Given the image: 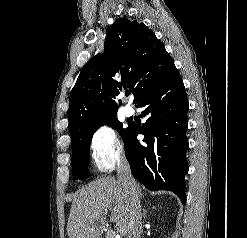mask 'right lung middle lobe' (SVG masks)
Listing matches in <instances>:
<instances>
[{"label": "right lung middle lobe", "mask_w": 247, "mask_h": 238, "mask_svg": "<svg viewBox=\"0 0 247 238\" xmlns=\"http://www.w3.org/2000/svg\"><path fill=\"white\" fill-rule=\"evenodd\" d=\"M103 124L104 122L88 130L74 145H72V172L74 180H84L89 176L88 164L90 157V142L92 140L93 134ZM107 125L116 129L124 139L128 128L123 129L122 123L119 122L117 118L113 117L107 120Z\"/></svg>", "instance_id": "obj_1"}]
</instances>
